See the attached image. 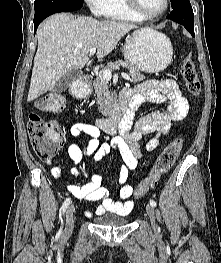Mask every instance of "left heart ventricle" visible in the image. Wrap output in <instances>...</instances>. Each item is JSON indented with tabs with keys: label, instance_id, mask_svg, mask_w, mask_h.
Segmentation results:
<instances>
[{
	"label": "left heart ventricle",
	"instance_id": "left-heart-ventricle-1",
	"mask_svg": "<svg viewBox=\"0 0 221 263\" xmlns=\"http://www.w3.org/2000/svg\"><path fill=\"white\" fill-rule=\"evenodd\" d=\"M138 2L144 13L153 14L163 8L165 0H138Z\"/></svg>",
	"mask_w": 221,
	"mask_h": 263
}]
</instances>
